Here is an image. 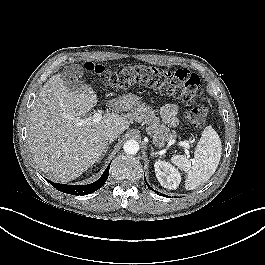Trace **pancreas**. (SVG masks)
<instances>
[{
    "label": "pancreas",
    "mask_w": 265,
    "mask_h": 265,
    "mask_svg": "<svg viewBox=\"0 0 265 265\" xmlns=\"http://www.w3.org/2000/svg\"><path fill=\"white\" fill-rule=\"evenodd\" d=\"M127 117L131 121H137L146 124L147 133L152 135L153 141L158 143L159 146H163L164 141L176 137L175 132H170L169 128H167L164 124H161L155 112L144 104H139L137 107L131 110V112L127 114Z\"/></svg>",
    "instance_id": "pancreas-1"
}]
</instances>
